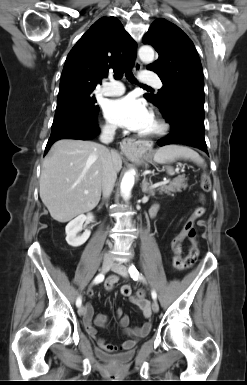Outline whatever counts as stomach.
Listing matches in <instances>:
<instances>
[{
    "label": "stomach",
    "instance_id": "stomach-1",
    "mask_svg": "<svg viewBox=\"0 0 247 385\" xmlns=\"http://www.w3.org/2000/svg\"><path fill=\"white\" fill-rule=\"evenodd\" d=\"M131 159L133 161H136V162H142L143 156L141 154H139V153H135V154H133Z\"/></svg>",
    "mask_w": 247,
    "mask_h": 385
}]
</instances>
